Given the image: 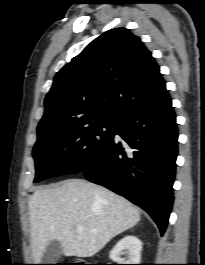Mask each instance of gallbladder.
Here are the masks:
<instances>
[{
  "instance_id": "gallbladder-1",
  "label": "gallbladder",
  "mask_w": 205,
  "mask_h": 265,
  "mask_svg": "<svg viewBox=\"0 0 205 265\" xmlns=\"http://www.w3.org/2000/svg\"><path fill=\"white\" fill-rule=\"evenodd\" d=\"M62 252L63 248L59 241H50L44 250L41 261L43 264H54L59 260Z\"/></svg>"
}]
</instances>
